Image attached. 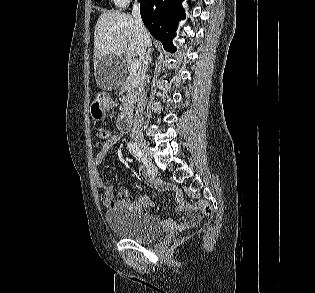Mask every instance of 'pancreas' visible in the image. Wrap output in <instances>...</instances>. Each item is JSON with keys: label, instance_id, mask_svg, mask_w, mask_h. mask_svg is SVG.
Wrapping results in <instances>:
<instances>
[{"label": "pancreas", "instance_id": "1", "mask_svg": "<svg viewBox=\"0 0 315 293\" xmlns=\"http://www.w3.org/2000/svg\"><path fill=\"white\" fill-rule=\"evenodd\" d=\"M137 90L138 84L136 75L130 74L119 91L123 103L121 114H129L132 111L134 103L137 99Z\"/></svg>", "mask_w": 315, "mask_h": 293}]
</instances>
